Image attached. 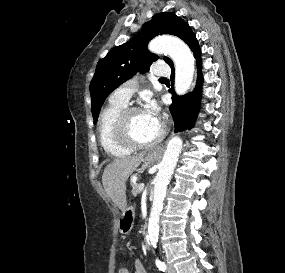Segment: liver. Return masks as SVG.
I'll use <instances>...</instances> for the list:
<instances>
[{
    "instance_id": "6515ba94",
    "label": "liver",
    "mask_w": 285,
    "mask_h": 273,
    "mask_svg": "<svg viewBox=\"0 0 285 273\" xmlns=\"http://www.w3.org/2000/svg\"><path fill=\"white\" fill-rule=\"evenodd\" d=\"M144 155L145 152H142L134 156L117 158L104 169L102 175L104 190L122 211L127 208L126 181L144 160Z\"/></svg>"
}]
</instances>
